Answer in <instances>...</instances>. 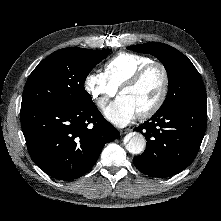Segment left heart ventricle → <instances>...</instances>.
I'll list each match as a JSON object with an SVG mask.
<instances>
[{"label": "left heart ventricle", "instance_id": "1", "mask_svg": "<svg viewBox=\"0 0 221 221\" xmlns=\"http://www.w3.org/2000/svg\"><path fill=\"white\" fill-rule=\"evenodd\" d=\"M162 86V71L155 67L149 70L137 85L125 89L120 95L126 97L137 113H140L154 104L161 93Z\"/></svg>", "mask_w": 221, "mask_h": 221}]
</instances>
